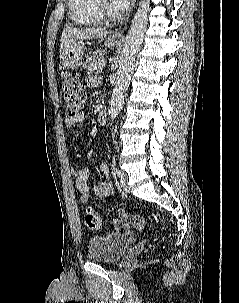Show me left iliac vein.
<instances>
[{
  "label": "left iliac vein",
  "instance_id": "left-iliac-vein-1",
  "mask_svg": "<svg viewBox=\"0 0 239 303\" xmlns=\"http://www.w3.org/2000/svg\"><path fill=\"white\" fill-rule=\"evenodd\" d=\"M120 186L122 187V189L126 192L129 193L130 192V188L128 186V177L127 174L123 171L120 170Z\"/></svg>",
  "mask_w": 239,
  "mask_h": 303
}]
</instances>
